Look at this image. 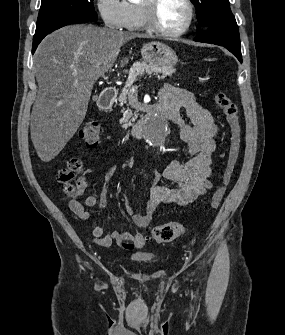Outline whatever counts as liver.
<instances>
[{"label":"liver","mask_w":285,"mask_h":335,"mask_svg":"<svg viewBox=\"0 0 285 335\" xmlns=\"http://www.w3.org/2000/svg\"><path fill=\"white\" fill-rule=\"evenodd\" d=\"M150 38L97 26H65L36 50L39 86L31 116V140L42 162L54 160L85 120L94 84L111 70L125 42ZM124 58L121 66L128 64Z\"/></svg>","instance_id":"liver-1"}]
</instances>
